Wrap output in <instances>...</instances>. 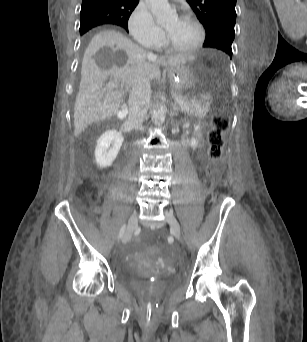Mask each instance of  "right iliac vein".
Instances as JSON below:
<instances>
[{
	"mask_svg": "<svg viewBox=\"0 0 307 342\" xmlns=\"http://www.w3.org/2000/svg\"><path fill=\"white\" fill-rule=\"evenodd\" d=\"M138 227V218L136 213H132V215L130 216L129 220H128V225H127V229H126V233L123 237V242L126 243L127 241H129L134 233V231L136 230V228Z\"/></svg>",
	"mask_w": 307,
	"mask_h": 342,
	"instance_id": "right-iliac-vein-1",
	"label": "right iliac vein"
}]
</instances>
